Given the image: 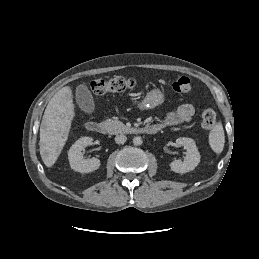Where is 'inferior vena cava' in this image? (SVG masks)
I'll return each instance as SVG.
<instances>
[{
  "label": "inferior vena cava",
  "mask_w": 259,
  "mask_h": 259,
  "mask_svg": "<svg viewBox=\"0 0 259 259\" xmlns=\"http://www.w3.org/2000/svg\"><path fill=\"white\" fill-rule=\"evenodd\" d=\"M126 140H127V137L123 134L117 135L115 137V142L117 144H124L126 142Z\"/></svg>",
  "instance_id": "obj_1"
}]
</instances>
